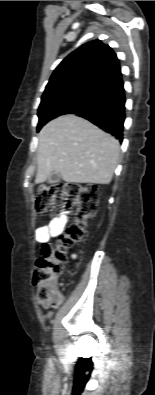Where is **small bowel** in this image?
Listing matches in <instances>:
<instances>
[{
  "label": "small bowel",
  "mask_w": 155,
  "mask_h": 395,
  "mask_svg": "<svg viewBox=\"0 0 155 395\" xmlns=\"http://www.w3.org/2000/svg\"><path fill=\"white\" fill-rule=\"evenodd\" d=\"M67 220V214L62 212L54 217L47 225L39 227L35 232V243L43 244L49 241L50 238L59 236L62 233ZM47 316L50 317L51 313H48Z\"/></svg>",
  "instance_id": "obj_1"
}]
</instances>
